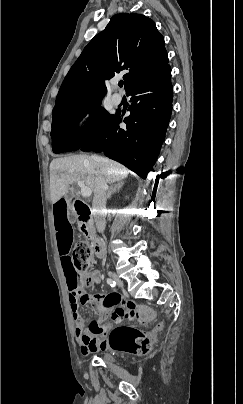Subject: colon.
I'll list each match as a JSON object with an SVG mask.
<instances>
[{
  "mask_svg": "<svg viewBox=\"0 0 243 404\" xmlns=\"http://www.w3.org/2000/svg\"><path fill=\"white\" fill-rule=\"evenodd\" d=\"M94 265L95 258L89 244L84 241L76 243L72 253V268L76 276L74 286L89 282ZM108 345L115 351L144 354L149 350L151 340L138 329L121 325L111 331Z\"/></svg>",
  "mask_w": 243,
  "mask_h": 404,
  "instance_id": "1",
  "label": "colon"
}]
</instances>
